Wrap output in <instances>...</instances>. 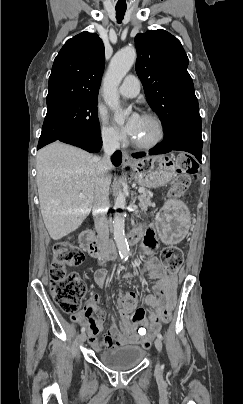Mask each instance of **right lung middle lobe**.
I'll use <instances>...</instances> for the list:
<instances>
[{"mask_svg":"<svg viewBox=\"0 0 243 404\" xmlns=\"http://www.w3.org/2000/svg\"><path fill=\"white\" fill-rule=\"evenodd\" d=\"M68 131L100 135L97 98L57 101L47 105L38 148Z\"/></svg>","mask_w":243,"mask_h":404,"instance_id":"right-lung-middle-lobe-1","label":"right lung middle lobe"}]
</instances>
